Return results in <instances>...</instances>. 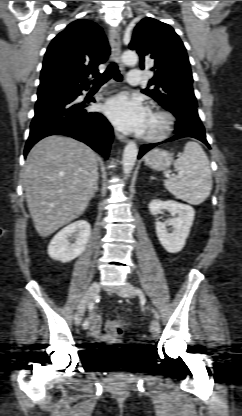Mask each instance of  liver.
Listing matches in <instances>:
<instances>
[{"mask_svg": "<svg viewBox=\"0 0 242 416\" xmlns=\"http://www.w3.org/2000/svg\"><path fill=\"white\" fill-rule=\"evenodd\" d=\"M98 160L86 144L59 135L48 136L31 149L23 183L27 206L41 237L85 211L98 181Z\"/></svg>", "mask_w": 242, "mask_h": 416, "instance_id": "6515ba94", "label": "liver"}]
</instances>
